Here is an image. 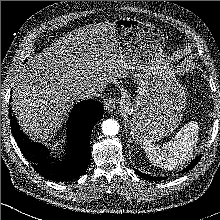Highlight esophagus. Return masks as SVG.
Listing matches in <instances>:
<instances>
[{
    "label": "esophagus",
    "instance_id": "obj_1",
    "mask_svg": "<svg viewBox=\"0 0 220 220\" xmlns=\"http://www.w3.org/2000/svg\"><path fill=\"white\" fill-rule=\"evenodd\" d=\"M116 104H117V99L114 97H109L103 103L104 110L108 113H113L116 108Z\"/></svg>",
    "mask_w": 220,
    "mask_h": 220
}]
</instances>
